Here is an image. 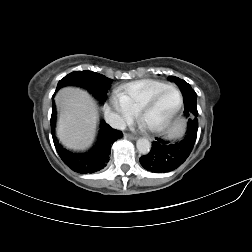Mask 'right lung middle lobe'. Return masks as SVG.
Instances as JSON below:
<instances>
[{
	"instance_id": "1",
	"label": "right lung middle lobe",
	"mask_w": 252,
	"mask_h": 252,
	"mask_svg": "<svg viewBox=\"0 0 252 252\" xmlns=\"http://www.w3.org/2000/svg\"><path fill=\"white\" fill-rule=\"evenodd\" d=\"M112 79L92 71H74L58 82L57 89L64 86H80L92 93L101 103L106 100Z\"/></svg>"
}]
</instances>
